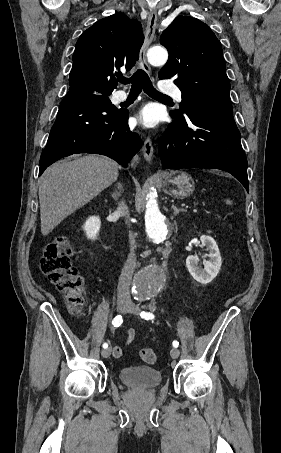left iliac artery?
I'll return each mask as SVG.
<instances>
[{
    "mask_svg": "<svg viewBox=\"0 0 281 453\" xmlns=\"http://www.w3.org/2000/svg\"><path fill=\"white\" fill-rule=\"evenodd\" d=\"M140 316H141L142 318L146 319V320H149V319H153V318H154V315H153L152 313H150V312H149V313H146V312H144V311L140 313ZM178 345H179V342L173 341V346H174L175 348H177Z\"/></svg>",
    "mask_w": 281,
    "mask_h": 453,
    "instance_id": "obj_1",
    "label": "left iliac artery"
}]
</instances>
